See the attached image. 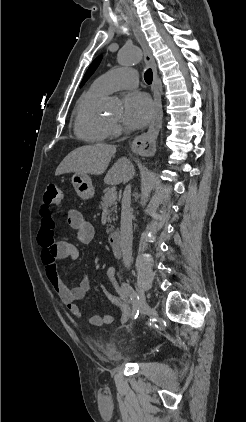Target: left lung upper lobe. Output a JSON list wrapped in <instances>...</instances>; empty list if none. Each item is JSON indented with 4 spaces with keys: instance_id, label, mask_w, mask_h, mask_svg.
<instances>
[{
    "instance_id": "left-lung-upper-lobe-1",
    "label": "left lung upper lobe",
    "mask_w": 246,
    "mask_h": 422,
    "mask_svg": "<svg viewBox=\"0 0 246 422\" xmlns=\"http://www.w3.org/2000/svg\"><path fill=\"white\" fill-rule=\"evenodd\" d=\"M102 59V56L97 57L92 64L90 65V67L88 68L86 74L84 75V78L80 84V87H82L84 85V83L88 80V78L94 73V71L96 70V68L98 67L100 61Z\"/></svg>"
}]
</instances>
